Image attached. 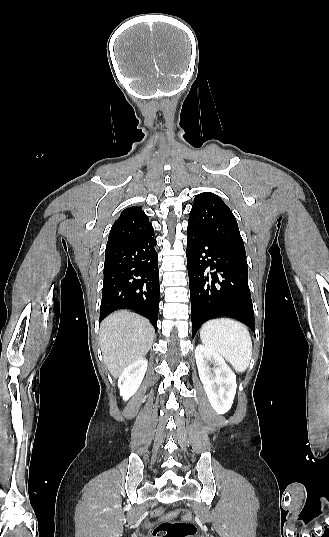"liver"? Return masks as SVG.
Listing matches in <instances>:
<instances>
[{"label": "liver", "mask_w": 329, "mask_h": 537, "mask_svg": "<svg viewBox=\"0 0 329 537\" xmlns=\"http://www.w3.org/2000/svg\"><path fill=\"white\" fill-rule=\"evenodd\" d=\"M155 331L151 323L130 311H116L100 326L99 344L104 363L114 378L151 348Z\"/></svg>", "instance_id": "6515ba94"}]
</instances>
